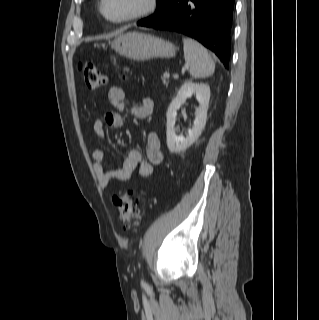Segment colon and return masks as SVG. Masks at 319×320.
<instances>
[{
	"label": "colon",
	"mask_w": 319,
	"mask_h": 320,
	"mask_svg": "<svg viewBox=\"0 0 319 320\" xmlns=\"http://www.w3.org/2000/svg\"><path fill=\"white\" fill-rule=\"evenodd\" d=\"M80 70L89 89L95 90L106 85V74L93 63L82 62ZM132 73V70L127 67L122 70V76L125 78L131 76ZM113 202L126 228H134L139 224V198L135 197L131 192H123L117 194Z\"/></svg>",
	"instance_id": "colon-1"
}]
</instances>
